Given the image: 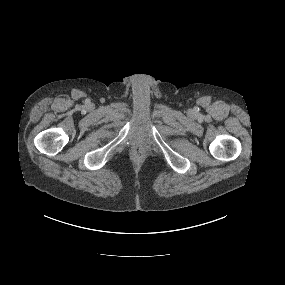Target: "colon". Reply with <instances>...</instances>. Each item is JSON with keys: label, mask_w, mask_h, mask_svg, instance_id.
<instances>
[{"label": "colon", "mask_w": 285, "mask_h": 285, "mask_svg": "<svg viewBox=\"0 0 285 285\" xmlns=\"http://www.w3.org/2000/svg\"><path fill=\"white\" fill-rule=\"evenodd\" d=\"M136 153L139 154L142 152V149L140 146H137L136 149H135Z\"/></svg>", "instance_id": "5ec220e1"}]
</instances>
